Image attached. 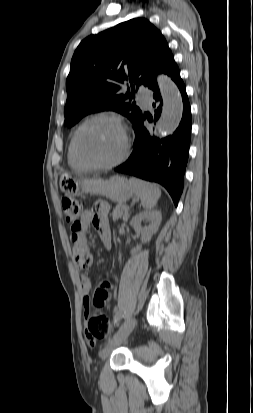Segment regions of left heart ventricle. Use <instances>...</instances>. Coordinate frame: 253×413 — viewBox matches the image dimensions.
I'll list each match as a JSON object with an SVG mask.
<instances>
[{
	"mask_svg": "<svg viewBox=\"0 0 253 413\" xmlns=\"http://www.w3.org/2000/svg\"><path fill=\"white\" fill-rule=\"evenodd\" d=\"M79 143L84 157L96 163L115 160L124 147L119 126L107 120H98L86 126L80 135Z\"/></svg>",
	"mask_w": 253,
	"mask_h": 413,
	"instance_id": "left-heart-ventricle-1",
	"label": "left heart ventricle"
}]
</instances>
